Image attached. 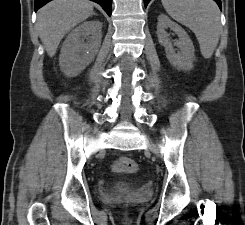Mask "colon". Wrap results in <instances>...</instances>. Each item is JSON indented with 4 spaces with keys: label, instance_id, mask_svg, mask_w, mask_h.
<instances>
[{
    "label": "colon",
    "instance_id": "1",
    "mask_svg": "<svg viewBox=\"0 0 245 225\" xmlns=\"http://www.w3.org/2000/svg\"><path fill=\"white\" fill-rule=\"evenodd\" d=\"M139 168V164L137 161L127 158L121 157L116 160L112 165V171L114 173H135Z\"/></svg>",
    "mask_w": 245,
    "mask_h": 225
}]
</instances>
